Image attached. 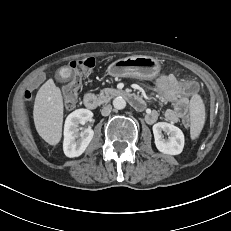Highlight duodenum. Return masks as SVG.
I'll use <instances>...</instances> for the list:
<instances>
[{
    "label": "duodenum",
    "instance_id": "duodenum-1",
    "mask_svg": "<svg viewBox=\"0 0 231 231\" xmlns=\"http://www.w3.org/2000/svg\"><path fill=\"white\" fill-rule=\"evenodd\" d=\"M107 95L111 97L125 98L131 104V106L138 111H143L145 109V101L139 95L126 89L111 88L107 91ZM83 102L86 108L89 110H94L99 105V99L93 93H87L84 96Z\"/></svg>",
    "mask_w": 231,
    "mask_h": 231
}]
</instances>
